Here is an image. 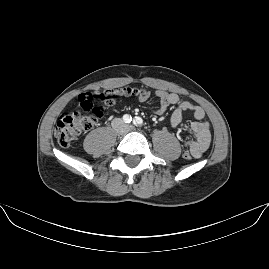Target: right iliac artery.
I'll return each mask as SVG.
<instances>
[{
  "instance_id": "obj_1",
  "label": "right iliac artery",
  "mask_w": 269,
  "mask_h": 269,
  "mask_svg": "<svg viewBox=\"0 0 269 269\" xmlns=\"http://www.w3.org/2000/svg\"><path fill=\"white\" fill-rule=\"evenodd\" d=\"M123 120L125 123H130L132 121V117L130 115H124Z\"/></svg>"
}]
</instances>
